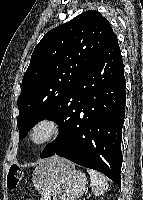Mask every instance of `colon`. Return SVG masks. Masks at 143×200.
Listing matches in <instances>:
<instances>
[{
	"mask_svg": "<svg viewBox=\"0 0 143 200\" xmlns=\"http://www.w3.org/2000/svg\"><path fill=\"white\" fill-rule=\"evenodd\" d=\"M23 176V172L17 165H12L7 174V187L14 190L19 185Z\"/></svg>",
	"mask_w": 143,
	"mask_h": 200,
	"instance_id": "1",
	"label": "colon"
}]
</instances>
